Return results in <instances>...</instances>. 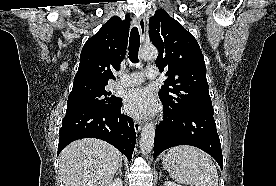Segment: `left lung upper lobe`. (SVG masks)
Here are the masks:
<instances>
[{"label":"left lung upper lobe","instance_id":"5c2ea615","mask_svg":"<svg viewBox=\"0 0 276 186\" xmlns=\"http://www.w3.org/2000/svg\"><path fill=\"white\" fill-rule=\"evenodd\" d=\"M150 39L159 51L156 65L168 77L161 101L176 112L213 108L204 57L189 31L160 9L150 18Z\"/></svg>","mask_w":276,"mask_h":186}]
</instances>
